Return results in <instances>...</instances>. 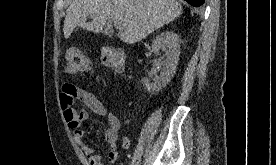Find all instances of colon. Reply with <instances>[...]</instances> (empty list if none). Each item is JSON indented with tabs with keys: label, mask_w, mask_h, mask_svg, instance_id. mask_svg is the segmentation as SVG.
I'll list each match as a JSON object with an SVG mask.
<instances>
[{
	"label": "colon",
	"mask_w": 276,
	"mask_h": 165,
	"mask_svg": "<svg viewBox=\"0 0 276 165\" xmlns=\"http://www.w3.org/2000/svg\"><path fill=\"white\" fill-rule=\"evenodd\" d=\"M101 60L106 67L122 71L124 66L123 54L113 48L105 47L101 51ZM91 62L88 57L78 49H70L65 54V71L70 75L88 72Z\"/></svg>",
	"instance_id": "5ec220e1"
}]
</instances>
